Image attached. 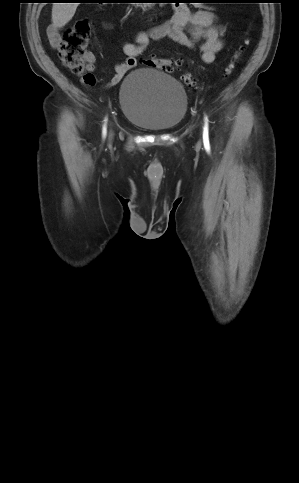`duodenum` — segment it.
<instances>
[{
    "label": "duodenum",
    "mask_w": 299,
    "mask_h": 483,
    "mask_svg": "<svg viewBox=\"0 0 299 483\" xmlns=\"http://www.w3.org/2000/svg\"><path fill=\"white\" fill-rule=\"evenodd\" d=\"M157 15H158L157 13H152L150 16L151 17H157Z\"/></svg>",
    "instance_id": "obj_1"
}]
</instances>
